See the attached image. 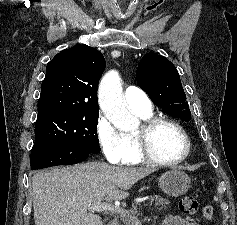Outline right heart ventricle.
Instances as JSON below:
<instances>
[{
  "mask_svg": "<svg viewBox=\"0 0 237 225\" xmlns=\"http://www.w3.org/2000/svg\"><path fill=\"white\" fill-rule=\"evenodd\" d=\"M133 112L144 120L149 119L152 116L151 112L148 113V114H141V113H138L136 111H133ZM127 139L130 141V143L132 145V152H131V155H130V157L127 160L126 163H128V164H138L139 162H141V159L137 154V149H136V145H135L133 136H128Z\"/></svg>",
  "mask_w": 237,
  "mask_h": 225,
  "instance_id": "e07e8e85",
  "label": "right heart ventricle"
}]
</instances>
